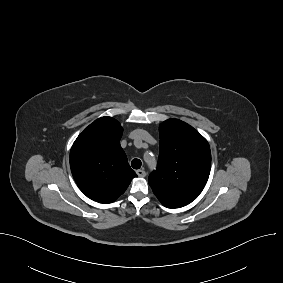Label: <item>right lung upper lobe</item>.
<instances>
[{"mask_svg":"<svg viewBox=\"0 0 283 283\" xmlns=\"http://www.w3.org/2000/svg\"><path fill=\"white\" fill-rule=\"evenodd\" d=\"M123 129L112 117H101L75 140L70 151L72 175L80 190L99 203H111L137 174L120 146Z\"/></svg>","mask_w":283,"mask_h":283,"instance_id":"1","label":"right lung upper lobe"}]
</instances>
